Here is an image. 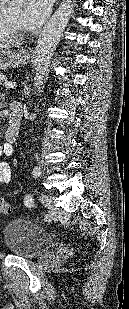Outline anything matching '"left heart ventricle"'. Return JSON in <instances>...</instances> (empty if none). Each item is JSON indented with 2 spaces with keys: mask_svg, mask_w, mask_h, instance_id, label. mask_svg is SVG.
Returning <instances> with one entry per match:
<instances>
[{
  "mask_svg": "<svg viewBox=\"0 0 129 309\" xmlns=\"http://www.w3.org/2000/svg\"><path fill=\"white\" fill-rule=\"evenodd\" d=\"M7 17L18 30L22 31L25 29L22 23V16L19 12L8 13Z\"/></svg>",
  "mask_w": 129,
  "mask_h": 309,
  "instance_id": "b2bd125f",
  "label": "left heart ventricle"
}]
</instances>
